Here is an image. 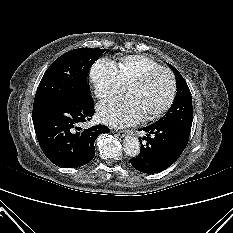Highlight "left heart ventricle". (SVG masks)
I'll return each mask as SVG.
<instances>
[{
	"mask_svg": "<svg viewBox=\"0 0 233 233\" xmlns=\"http://www.w3.org/2000/svg\"><path fill=\"white\" fill-rule=\"evenodd\" d=\"M127 92L138 99L144 114H148L166 102L170 93V79L166 73L157 72L142 84H129Z\"/></svg>",
	"mask_w": 233,
	"mask_h": 233,
	"instance_id": "1",
	"label": "left heart ventricle"
}]
</instances>
